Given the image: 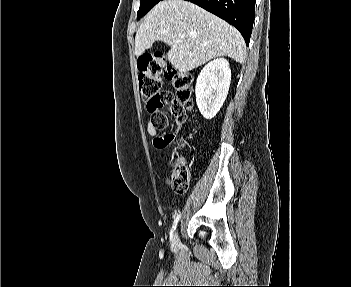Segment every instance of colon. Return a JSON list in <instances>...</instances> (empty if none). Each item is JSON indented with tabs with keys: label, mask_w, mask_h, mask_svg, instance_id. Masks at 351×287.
I'll return each mask as SVG.
<instances>
[{
	"label": "colon",
	"mask_w": 351,
	"mask_h": 287,
	"mask_svg": "<svg viewBox=\"0 0 351 287\" xmlns=\"http://www.w3.org/2000/svg\"><path fill=\"white\" fill-rule=\"evenodd\" d=\"M138 69V88L147 109L152 113V126L157 131L167 127L168 116L164 106L168 103L176 117L185 118L186 112L193 107L192 74L168 65L161 54L144 55L139 60ZM163 75L172 82L175 97L171 92H160ZM168 165L171 168L173 189L177 193L186 192L192 180L191 169L175 157L168 160Z\"/></svg>",
	"instance_id": "5ec220e1"
}]
</instances>
